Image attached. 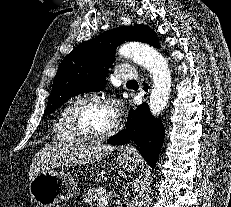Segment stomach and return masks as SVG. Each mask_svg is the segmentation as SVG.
Masks as SVG:
<instances>
[{"label":"stomach","instance_id":"stomach-1","mask_svg":"<svg viewBox=\"0 0 231 207\" xmlns=\"http://www.w3.org/2000/svg\"><path fill=\"white\" fill-rule=\"evenodd\" d=\"M117 161L126 172L137 167L136 158L130 154H119ZM77 190V183L69 175L54 170L39 172L29 184L31 197L42 207H55L76 196Z\"/></svg>","mask_w":231,"mask_h":207}]
</instances>
